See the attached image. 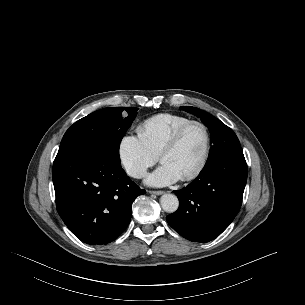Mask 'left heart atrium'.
Returning a JSON list of instances; mask_svg holds the SVG:
<instances>
[{"label":"left heart atrium","instance_id":"39dd6f15","mask_svg":"<svg viewBox=\"0 0 305 305\" xmlns=\"http://www.w3.org/2000/svg\"><path fill=\"white\" fill-rule=\"evenodd\" d=\"M180 179L179 175L168 165L162 163L147 178V183L152 186H165Z\"/></svg>","mask_w":305,"mask_h":305}]
</instances>
